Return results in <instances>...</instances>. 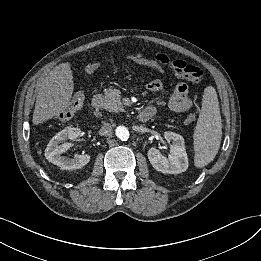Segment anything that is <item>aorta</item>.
<instances>
[{"mask_svg": "<svg viewBox=\"0 0 261 261\" xmlns=\"http://www.w3.org/2000/svg\"><path fill=\"white\" fill-rule=\"evenodd\" d=\"M116 136L122 140V141H126L129 138V131L126 127L124 126H118L115 130Z\"/></svg>", "mask_w": 261, "mask_h": 261, "instance_id": "762f6f07", "label": "aorta"}]
</instances>
